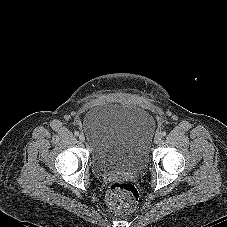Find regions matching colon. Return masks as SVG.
I'll list each match as a JSON object with an SVG mask.
<instances>
[{
	"label": "colon",
	"instance_id": "obj_1",
	"mask_svg": "<svg viewBox=\"0 0 227 227\" xmlns=\"http://www.w3.org/2000/svg\"><path fill=\"white\" fill-rule=\"evenodd\" d=\"M139 200L137 188L125 181L113 182L106 194L107 204L118 214L126 215L133 212Z\"/></svg>",
	"mask_w": 227,
	"mask_h": 227
}]
</instances>
